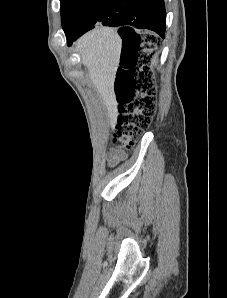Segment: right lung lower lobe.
<instances>
[{"label":"right lung lower lobe","mask_w":227,"mask_h":298,"mask_svg":"<svg viewBox=\"0 0 227 298\" xmlns=\"http://www.w3.org/2000/svg\"><path fill=\"white\" fill-rule=\"evenodd\" d=\"M165 20L164 0H107L77 31L66 35L67 44L72 45L74 40L99 22L105 26H123L119 29L123 39L120 65L125 67V43L129 36H135L134 28L149 29L164 38Z\"/></svg>","instance_id":"obj_1"}]
</instances>
